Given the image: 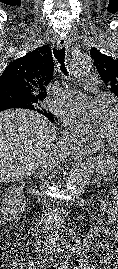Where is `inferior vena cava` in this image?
<instances>
[{
    "mask_svg": "<svg viewBox=\"0 0 118 269\" xmlns=\"http://www.w3.org/2000/svg\"><path fill=\"white\" fill-rule=\"evenodd\" d=\"M60 147H61L60 143L54 145L52 154L48 157L47 160L43 161L40 164L38 173L39 178H44L49 172V170L59 165L61 160V154H59Z\"/></svg>",
    "mask_w": 118,
    "mask_h": 269,
    "instance_id": "obj_1",
    "label": "inferior vena cava"
}]
</instances>
